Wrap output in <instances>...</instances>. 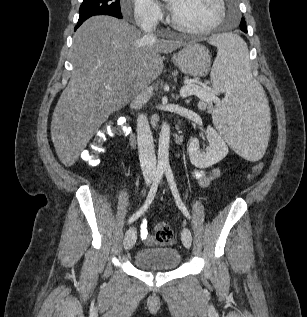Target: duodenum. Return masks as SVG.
Instances as JSON below:
<instances>
[{
    "mask_svg": "<svg viewBox=\"0 0 307 317\" xmlns=\"http://www.w3.org/2000/svg\"><path fill=\"white\" fill-rule=\"evenodd\" d=\"M129 137L131 139V142L133 144H135L136 143V134L134 133V131H132V130L129 131Z\"/></svg>",
    "mask_w": 307,
    "mask_h": 317,
    "instance_id": "410a0bca",
    "label": "duodenum"
}]
</instances>
